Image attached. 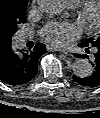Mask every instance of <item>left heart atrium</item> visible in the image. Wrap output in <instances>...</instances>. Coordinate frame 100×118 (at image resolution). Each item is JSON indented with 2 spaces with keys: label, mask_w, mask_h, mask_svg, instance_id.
Listing matches in <instances>:
<instances>
[{
  "label": "left heart atrium",
  "mask_w": 100,
  "mask_h": 118,
  "mask_svg": "<svg viewBox=\"0 0 100 118\" xmlns=\"http://www.w3.org/2000/svg\"><path fill=\"white\" fill-rule=\"evenodd\" d=\"M41 37L54 47H63L80 36V29L73 23L50 22L40 31Z\"/></svg>",
  "instance_id": "1"
}]
</instances>
